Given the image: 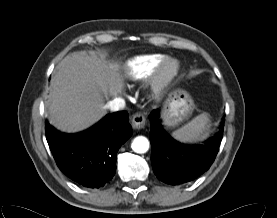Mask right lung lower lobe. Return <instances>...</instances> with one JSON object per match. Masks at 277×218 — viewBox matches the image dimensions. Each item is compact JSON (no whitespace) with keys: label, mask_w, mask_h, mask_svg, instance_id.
Returning <instances> with one entry per match:
<instances>
[{"label":"right lung lower lobe","mask_w":277,"mask_h":218,"mask_svg":"<svg viewBox=\"0 0 277 218\" xmlns=\"http://www.w3.org/2000/svg\"><path fill=\"white\" fill-rule=\"evenodd\" d=\"M46 138L60 170L76 183L104 186L116 172V154L132 135L126 111L105 117L87 131L65 134L45 124Z\"/></svg>","instance_id":"obj_1"}]
</instances>
